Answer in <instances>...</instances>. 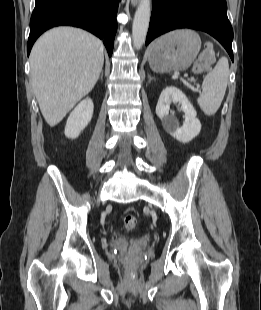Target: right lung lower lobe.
Here are the masks:
<instances>
[{
  "mask_svg": "<svg viewBox=\"0 0 261 310\" xmlns=\"http://www.w3.org/2000/svg\"><path fill=\"white\" fill-rule=\"evenodd\" d=\"M118 4L119 0H35L27 54L44 31L54 26L70 25L88 30L103 39L111 56L117 30Z\"/></svg>",
  "mask_w": 261,
  "mask_h": 310,
  "instance_id": "98d812e1",
  "label": "right lung lower lobe"
}]
</instances>
